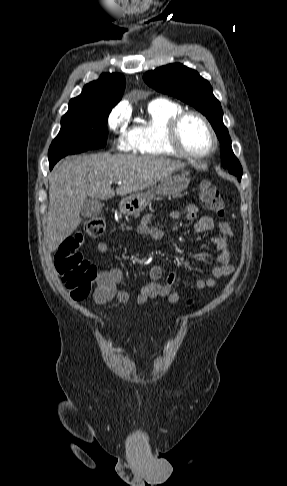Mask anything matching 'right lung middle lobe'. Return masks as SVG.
<instances>
[{
  "mask_svg": "<svg viewBox=\"0 0 287 486\" xmlns=\"http://www.w3.org/2000/svg\"><path fill=\"white\" fill-rule=\"evenodd\" d=\"M107 106L69 108L61 119V129L49 151V164H55L68 154L102 148L107 143Z\"/></svg>",
  "mask_w": 287,
  "mask_h": 486,
  "instance_id": "1",
  "label": "right lung middle lobe"
}]
</instances>
